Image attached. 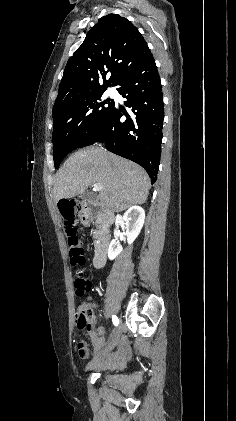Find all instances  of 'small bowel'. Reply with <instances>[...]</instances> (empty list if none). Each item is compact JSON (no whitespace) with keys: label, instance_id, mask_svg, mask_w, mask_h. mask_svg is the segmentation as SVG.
I'll return each instance as SVG.
<instances>
[{"label":"small bowel","instance_id":"c3829d8e","mask_svg":"<svg viewBox=\"0 0 236 421\" xmlns=\"http://www.w3.org/2000/svg\"><path fill=\"white\" fill-rule=\"evenodd\" d=\"M83 305H87V306H89V307L94 306V304L91 302V300H89L88 302L83 303ZM89 334H90L91 340H92L93 345L95 346V348H96V349H100V347L104 344V338L99 337V336H98V334H97L96 332H90ZM98 338H100V341H99V342L97 341V339H98ZM87 355H88V352H87V354H86L85 356H83L82 358L87 357ZM107 355L115 356V355H116V353L106 354V355H100V354H98V355L95 357V363H96L97 361H99L100 359L104 358V357H105V356H107Z\"/></svg>","mask_w":236,"mask_h":421}]
</instances>
